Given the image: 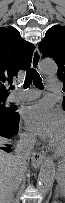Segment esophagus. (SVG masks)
I'll list each match as a JSON object with an SVG mask.
<instances>
[{
	"label": "esophagus",
	"instance_id": "1",
	"mask_svg": "<svg viewBox=\"0 0 65 203\" xmlns=\"http://www.w3.org/2000/svg\"><path fill=\"white\" fill-rule=\"evenodd\" d=\"M40 60H41V54L38 49H35L32 57V68H34L35 70H39ZM43 160H44V155H42L41 153L39 152L32 153L31 161H32V165L35 168H38Z\"/></svg>",
	"mask_w": 65,
	"mask_h": 203
}]
</instances>
